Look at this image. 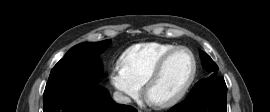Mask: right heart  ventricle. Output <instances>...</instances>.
<instances>
[{"instance_id":"obj_1","label":"right heart ventricle","mask_w":270,"mask_h":112,"mask_svg":"<svg viewBox=\"0 0 270 112\" xmlns=\"http://www.w3.org/2000/svg\"><path fill=\"white\" fill-rule=\"evenodd\" d=\"M175 47L177 46L160 42L137 44L123 54L122 62L134 80L143 85L159 60Z\"/></svg>"}]
</instances>
